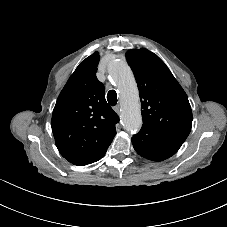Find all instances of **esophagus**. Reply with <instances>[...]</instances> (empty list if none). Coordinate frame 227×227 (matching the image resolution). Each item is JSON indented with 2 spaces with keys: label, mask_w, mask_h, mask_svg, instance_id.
<instances>
[{
  "label": "esophagus",
  "mask_w": 227,
  "mask_h": 227,
  "mask_svg": "<svg viewBox=\"0 0 227 227\" xmlns=\"http://www.w3.org/2000/svg\"><path fill=\"white\" fill-rule=\"evenodd\" d=\"M114 111H115L117 114H120V112H121L120 106H119V105L115 106V107H114Z\"/></svg>",
  "instance_id": "1"
}]
</instances>
